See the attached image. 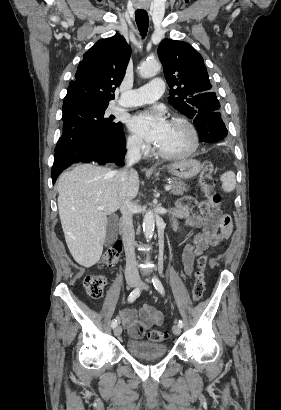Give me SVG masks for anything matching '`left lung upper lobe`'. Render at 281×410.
Returning <instances> with one entry per match:
<instances>
[{
	"instance_id": "left-lung-upper-lobe-1",
	"label": "left lung upper lobe",
	"mask_w": 281,
	"mask_h": 410,
	"mask_svg": "<svg viewBox=\"0 0 281 410\" xmlns=\"http://www.w3.org/2000/svg\"><path fill=\"white\" fill-rule=\"evenodd\" d=\"M158 56L170 87L168 101L176 110L190 119L218 111L220 103L211 91L204 60L190 44L165 39L158 47Z\"/></svg>"
}]
</instances>
